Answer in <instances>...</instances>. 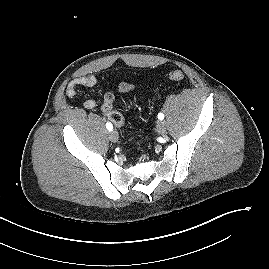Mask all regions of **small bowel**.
<instances>
[{
	"mask_svg": "<svg viewBox=\"0 0 269 269\" xmlns=\"http://www.w3.org/2000/svg\"><path fill=\"white\" fill-rule=\"evenodd\" d=\"M97 84V79L94 75H87L82 77H77L69 82L66 87V95L70 98L74 97L79 87H95ZM132 90V86L128 83H121L119 85V91L122 93H128ZM84 107L87 109H93L97 106V100L95 99H88L84 102ZM102 112L106 116V111L102 106Z\"/></svg>",
	"mask_w": 269,
	"mask_h": 269,
	"instance_id": "1",
	"label": "small bowel"
}]
</instances>
